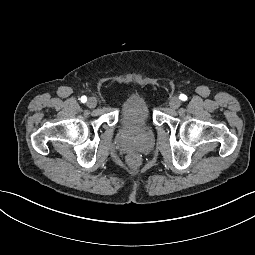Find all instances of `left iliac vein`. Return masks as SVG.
I'll list each match as a JSON object with an SVG mask.
<instances>
[{
    "instance_id": "left-iliac-vein-1",
    "label": "left iliac vein",
    "mask_w": 255,
    "mask_h": 255,
    "mask_svg": "<svg viewBox=\"0 0 255 255\" xmlns=\"http://www.w3.org/2000/svg\"><path fill=\"white\" fill-rule=\"evenodd\" d=\"M169 105H170L171 108L177 109V108L180 107L181 101H180V99L178 97H172L170 99Z\"/></svg>"
}]
</instances>
